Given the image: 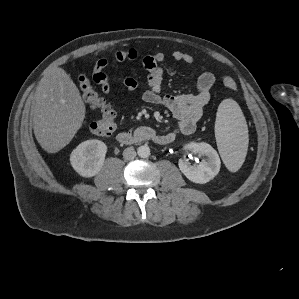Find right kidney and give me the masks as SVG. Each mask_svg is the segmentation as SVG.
<instances>
[{
	"mask_svg": "<svg viewBox=\"0 0 299 299\" xmlns=\"http://www.w3.org/2000/svg\"><path fill=\"white\" fill-rule=\"evenodd\" d=\"M107 146L100 140H87L80 143L70 155L73 169L82 177L91 178L101 170Z\"/></svg>",
	"mask_w": 299,
	"mask_h": 299,
	"instance_id": "ca27d5eb",
	"label": "right kidney"
}]
</instances>
